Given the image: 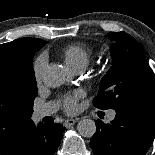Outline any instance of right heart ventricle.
<instances>
[{
  "label": "right heart ventricle",
  "instance_id": "right-heart-ventricle-1",
  "mask_svg": "<svg viewBox=\"0 0 155 155\" xmlns=\"http://www.w3.org/2000/svg\"><path fill=\"white\" fill-rule=\"evenodd\" d=\"M63 56L73 70L85 69L92 58V51L86 45L72 44L64 50Z\"/></svg>",
  "mask_w": 155,
  "mask_h": 155
}]
</instances>
